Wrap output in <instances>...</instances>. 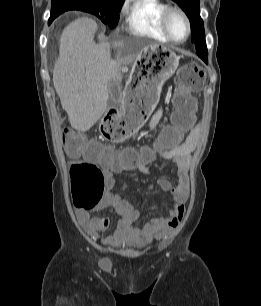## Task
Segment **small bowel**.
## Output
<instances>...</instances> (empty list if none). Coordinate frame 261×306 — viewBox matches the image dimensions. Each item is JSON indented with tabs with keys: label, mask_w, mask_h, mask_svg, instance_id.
Instances as JSON below:
<instances>
[{
	"label": "small bowel",
	"mask_w": 261,
	"mask_h": 306,
	"mask_svg": "<svg viewBox=\"0 0 261 306\" xmlns=\"http://www.w3.org/2000/svg\"><path fill=\"white\" fill-rule=\"evenodd\" d=\"M163 114V109H158L151 121L150 129L156 128ZM200 138V128L195 127L187 139L180 145L168 150L158 152V156L171 161L176 168V180L172 182L166 178H159L157 185L164 191L171 194L173 206L169 214L165 217H152L142 227H135L142 213L137 210L128 200L113 191L115 185L114 173L126 170H136L143 174H149L148 160H140L135 163L114 162L112 152L109 153V160L105 162L104 179L105 191L101 201L91 211L79 210L76 217L80 225L86 233L93 239L99 237V233L107 230L111 224L109 217H94V211L102 210L106 207H112L119 215V221L113 233L103 239V244L108 247H130L143 246L154 239H161L172 235L179 227L184 211V203L187 198L189 180L188 165L191 153L198 145ZM75 161L70 163V167ZM155 207H151L148 211H153Z\"/></svg>",
	"instance_id": "1"
}]
</instances>
